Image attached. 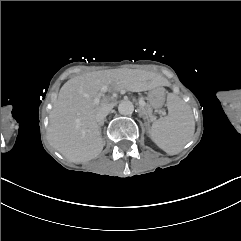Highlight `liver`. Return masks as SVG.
<instances>
[{
  "mask_svg": "<svg viewBox=\"0 0 241 241\" xmlns=\"http://www.w3.org/2000/svg\"><path fill=\"white\" fill-rule=\"evenodd\" d=\"M154 81L153 73L131 69L94 71L69 79L50 112L49 144L74 163L95 159L104 148L96 115L113 108L106 97L100 101L103 93L143 92L156 87Z\"/></svg>",
  "mask_w": 241,
  "mask_h": 241,
  "instance_id": "6515ba94",
  "label": "liver"
}]
</instances>
